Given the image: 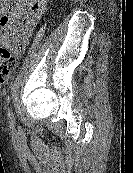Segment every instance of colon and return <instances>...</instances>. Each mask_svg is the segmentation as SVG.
<instances>
[{
    "label": "colon",
    "instance_id": "colon-1",
    "mask_svg": "<svg viewBox=\"0 0 133 173\" xmlns=\"http://www.w3.org/2000/svg\"><path fill=\"white\" fill-rule=\"evenodd\" d=\"M17 66L14 48L0 46V83L5 82Z\"/></svg>",
    "mask_w": 133,
    "mask_h": 173
}]
</instances>
